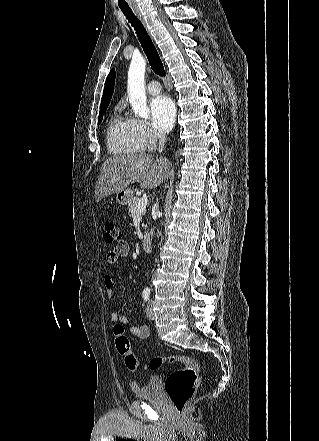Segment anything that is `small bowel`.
Returning a JSON list of instances; mask_svg holds the SVG:
<instances>
[{"label": "small bowel", "mask_w": 319, "mask_h": 441, "mask_svg": "<svg viewBox=\"0 0 319 441\" xmlns=\"http://www.w3.org/2000/svg\"><path fill=\"white\" fill-rule=\"evenodd\" d=\"M128 252H129L128 243L124 240H120L117 243L116 247L108 252L107 261L110 264H114L119 260V258L126 256ZM104 283H105L107 297L112 298L114 296V285H115L112 276L105 275ZM110 318L113 322H117V323L128 322L127 316L120 315L116 311L111 312ZM130 333L139 339H146L149 336V330L145 325L131 326Z\"/></svg>", "instance_id": "obj_1"}]
</instances>
